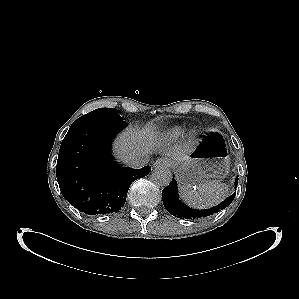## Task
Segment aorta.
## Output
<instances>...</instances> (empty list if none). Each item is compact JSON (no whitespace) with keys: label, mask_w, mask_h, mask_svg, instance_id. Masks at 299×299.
Returning a JSON list of instances; mask_svg holds the SVG:
<instances>
[{"label":"aorta","mask_w":299,"mask_h":299,"mask_svg":"<svg viewBox=\"0 0 299 299\" xmlns=\"http://www.w3.org/2000/svg\"><path fill=\"white\" fill-rule=\"evenodd\" d=\"M151 178L161 186H167L172 180V173L168 168H157L152 172Z\"/></svg>","instance_id":"762f6f07"}]
</instances>
